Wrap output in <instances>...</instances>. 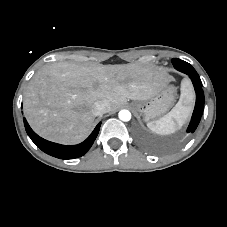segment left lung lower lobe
<instances>
[{
	"label": "left lung lower lobe",
	"mask_w": 227,
	"mask_h": 227,
	"mask_svg": "<svg viewBox=\"0 0 227 227\" xmlns=\"http://www.w3.org/2000/svg\"><path fill=\"white\" fill-rule=\"evenodd\" d=\"M175 69L189 75L196 92V104L190 124L187 128V133H193L200 122L204 109V93L202 90V83L198 73L189 63L178 65Z\"/></svg>",
	"instance_id": "left-lung-lower-lobe-1"
}]
</instances>
